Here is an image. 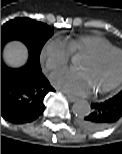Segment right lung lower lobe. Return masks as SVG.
I'll return each instance as SVG.
<instances>
[{"label":"right lung lower lobe","instance_id":"right-lung-lower-lobe-1","mask_svg":"<svg viewBox=\"0 0 122 154\" xmlns=\"http://www.w3.org/2000/svg\"><path fill=\"white\" fill-rule=\"evenodd\" d=\"M50 91L55 90L31 55L20 69L8 68L1 57V116L5 120L15 124L34 121L43 113Z\"/></svg>","mask_w":122,"mask_h":154}]
</instances>
